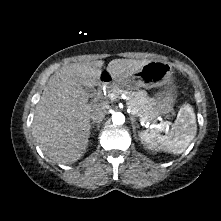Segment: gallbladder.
Returning <instances> with one entry per match:
<instances>
[{"label":"gallbladder","mask_w":221,"mask_h":221,"mask_svg":"<svg viewBox=\"0 0 221 221\" xmlns=\"http://www.w3.org/2000/svg\"><path fill=\"white\" fill-rule=\"evenodd\" d=\"M85 90L89 93V95H93V93H94V89L93 88L85 87Z\"/></svg>","instance_id":"gallbladder-1"}]
</instances>
